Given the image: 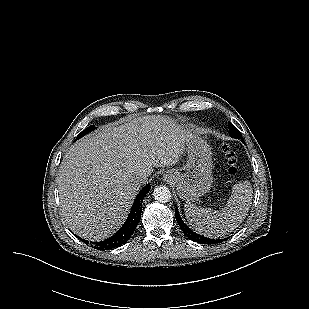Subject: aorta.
Instances as JSON below:
<instances>
[{
    "label": "aorta",
    "instance_id": "aorta-1",
    "mask_svg": "<svg viewBox=\"0 0 309 309\" xmlns=\"http://www.w3.org/2000/svg\"><path fill=\"white\" fill-rule=\"evenodd\" d=\"M155 200L161 203L169 202L171 199V192L166 186H157L153 192Z\"/></svg>",
    "mask_w": 309,
    "mask_h": 309
}]
</instances>
